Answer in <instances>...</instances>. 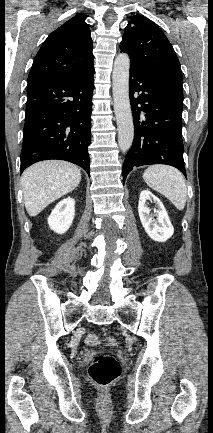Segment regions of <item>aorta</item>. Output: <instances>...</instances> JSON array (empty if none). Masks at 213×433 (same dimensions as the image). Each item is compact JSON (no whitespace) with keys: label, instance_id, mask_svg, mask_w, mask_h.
I'll use <instances>...</instances> for the list:
<instances>
[{"label":"aorta","instance_id":"762f6f07","mask_svg":"<svg viewBox=\"0 0 213 433\" xmlns=\"http://www.w3.org/2000/svg\"><path fill=\"white\" fill-rule=\"evenodd\" d=\"M130 59L128 54L116 56L112 73L114 112L118 129V144L125 152L132 146L134 123L129 99Z\"/></svg>","mask_w":213,"mask_h":433}]
</instances>
